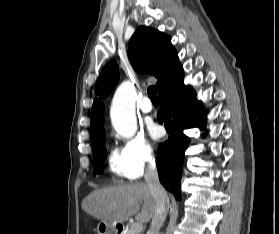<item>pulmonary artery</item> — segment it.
<instances>
[{
  "label": "pulmonary artery",
  "instance_id": "pulmonary-artery-1",
  "mask_svg": "<svg viewBox=\"0 0 279 234\" xmlns=\"http://www.w3.org/2000/svg\"><path fill=\"white\" fill-rule=\"evenodd\" d=\"M139 109L142 113H145V114L152 112L153 106L147 97L143 98V100L141 101V103L139 105Z\"/></svg>",
  "mask_w": 279,
  "mask_h": 234
}]
</instances>
